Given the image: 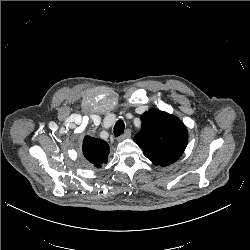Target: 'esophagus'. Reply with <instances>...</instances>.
I'll list each match as a JSON object with an SVG mask.
<instances>
[{
	"label": "esophagus",
	"instance_id": "obj_1",
	"mask_svg": "<svg viewBox=\"0 0 250 250\" xmlns=\"http://www.w3.org/2000/svg\"><path fill=\"white\" fill-rule=\"evenodd\" d=\"M130 136H131V131L129 129H127L123 135H121L120 137H118V141H122L124 139H127Z\"/></svg>",
	"mask_w": 250,
	"mask_h": 250
}]
</instances>
